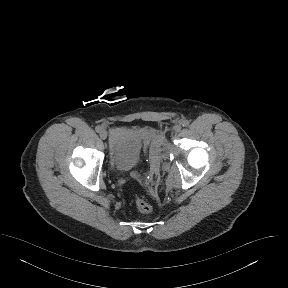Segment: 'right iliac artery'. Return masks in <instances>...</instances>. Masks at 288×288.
Segmentation results:
<instances>
[{
    "instance_id": "1",
    "label": "right iliac artery",
    "mask_w": 288,
    "mask_h": 288,
    "mask_svg": "<svg viewBox=\"0 0 288 288\" xmlns=\"http://www.w3.org/2000/svg\"><path fill=\"white\" fill-rule=\"evenodd\" d=\"M95 130H96V132L100 133L102 131V127L101 126H96Z\"/></svg>"
}]
</instances>
